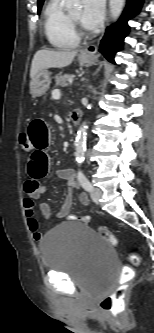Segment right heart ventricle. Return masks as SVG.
<instances>
[{"label": "right heart ventricle", "instance_id": "obj_1", "mask_svg": "<svg viewBox=\"0 0 154 333\" xmlns=\"http://www.w3.org/2000/svg\"><path fill=\"white\" fill-rule=\"evenodd\" d=\"M63 0H49L43 14L44 31L49 43L57 49H72L78 46L79 37L75 34Z\"/></svg>", "mask_w": 154, "mask_h": 333}]
</instances>
